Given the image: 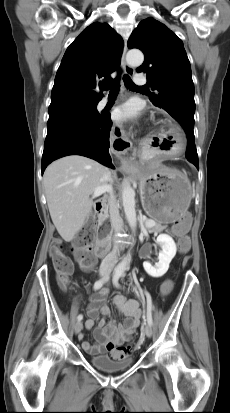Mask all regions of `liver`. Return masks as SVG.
Returning <instances> with one entry per match:
<instances>
[{"label":"liver","instance_id":"1","mask_svg":"<svg viewBox=\"0 0 230 413\" xmlns=\"http://www.w3.org/2000/svg\"><path fill=\"white\" fill-rule=\"evenodd\" d=\"M109 171L97 161L70 155L52 162L45 170L43 184L51 219L66 242H70L89 217L90 195L98 186L108 185Z\"/></svg>","mask_w":230,"mask_h":413}]
</instances>
